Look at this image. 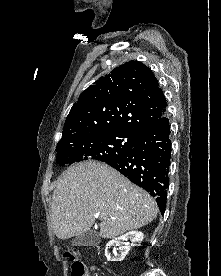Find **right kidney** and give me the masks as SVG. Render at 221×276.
<instances>
[{
  "mask_svg": "<svg viewBox=\"0 0 221 276\" xmlns=\"http://www.w3.org/2000/svg\"><path fill=\"white\" fill-rule=\"evenodd\" d=\"M144 238V235L142 232L138 231H130L118 238H115L111 241H109L106 244L105 248V256L108 261H122L124 260L125 256L130 251L131 246H137L139 245ZM130 240L131 243L128 242ZM111 246H118L120 250V254L117 257H111V253L108 251V249Z\"/></svg>",
  "mask_w": 221,
  "mask_h": 276,
  "instance_id": "right-kidney-1",
  "label": "right kidney"
}]
</instances>
